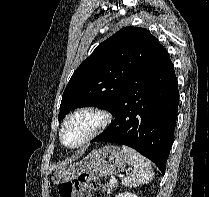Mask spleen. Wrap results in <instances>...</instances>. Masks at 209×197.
<instances>
[{"label":"spleen","mask_w":209,"mask_h":197,"mask_svg":"<svg viewBox=\"0 0 209 197\" xmlns=\"http://www.w3.org/2000/svg\"><path fill=\"white\" fill-rule=\"evenodd\" d=\"M122 149L132 170L122 179V184L127 187H137L149 183L154 176L150 162L128 146L123 145Z\"/></svg>","instance_id":"obj_1"}]
</instances>
